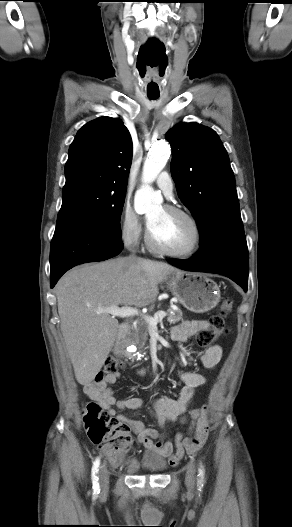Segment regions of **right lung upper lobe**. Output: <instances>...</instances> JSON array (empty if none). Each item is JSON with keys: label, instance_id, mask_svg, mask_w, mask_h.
<instances>
[{"label": "right lung upper lobe", "instance_id": "1", "mask_svg": "<svg viewBox=\"0 0 292 527\" xmlns=\"http://www.w3.org/2000/svg\"><path fill=\"white\" fill-rule=\"evenodd\" d=\"M132 140L118 118L100 117L85 124L69 148L66 184L89 183L126 190Z\"/></svg>", "mask_w": 292, "mask_h": 527}]
</instances>
